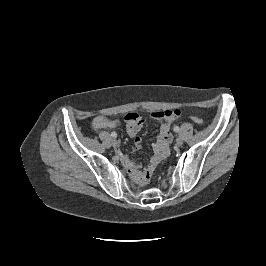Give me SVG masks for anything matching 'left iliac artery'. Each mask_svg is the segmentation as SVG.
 <instances>
[{"instance_id": "1", "label": "left iliac artery", "mask_w": 266, "mask_h": 266, "mask_svg": "<svg viewBox=\"0 0 266 266\" xmlns=\"http://www.w3.org/2000/svg\"><path fill=\"white\" fill-rule=\"evenodd\" d=\"M174 131H175V132H179V127H178V126H175V127H174Z\"/></svg>"}]
</instances>
